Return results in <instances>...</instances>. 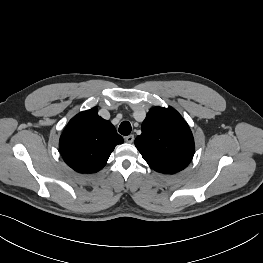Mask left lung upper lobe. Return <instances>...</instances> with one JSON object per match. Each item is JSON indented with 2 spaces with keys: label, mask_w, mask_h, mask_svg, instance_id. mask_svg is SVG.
Segmentation results:
<instances>
[{
  "label": "left lung upper lobe",
  "mask_w": 263,
  "mask_h": 263,
  "mask_svg": "<svg viewBox=\"0 0 263 263\" xmlns=\"http://www.w3.org/2000/svg\"><path fill=\"white\" fill-rule=\"evenodd\" d=\"M135 146L152 169L165 174L187 167L195 149L188 124L172 107H154L148 112Z\"/></svg>",
  "instance_id": "1"
}]
</instances>
